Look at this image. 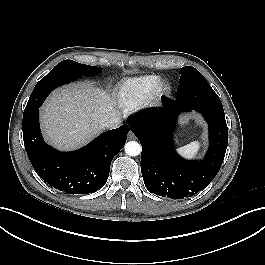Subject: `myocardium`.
<instances>
[{
  "label": "myocardium",
  "instance_id": "f54148a6",
  "mask_svg": "<svg viewBox=\"0 0 265 265\" xmlns=\"http://www.w3.org/2000/svg\"><path fill=\"white\" fill-rule=\"evenodd\" d=\"M168 91L169 85L165 81H158L151 93V104L154 105L155 103H157L162 97H164L168 93Z\"/></svg>",
  "mask_w": 265,
  "mask_h": 265
}]
</instances>
